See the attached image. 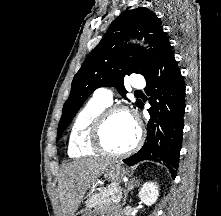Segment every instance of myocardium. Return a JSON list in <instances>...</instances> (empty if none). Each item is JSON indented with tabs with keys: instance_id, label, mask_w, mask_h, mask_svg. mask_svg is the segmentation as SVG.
Listing matches in <instances>:
<instances>
[{
	"instance_id": "myocardium-1",
	"label": "myocardium",
	"mask_w": 221,
	"mask_h": 216,
	"mask_svg": "<svg viewBox=\"0 0 221 216\" xmlns=\"http://www.w3.org/2000/svg\"><path fill=\"white\" fill-rule=\"evenodd\" d=\"M116 113H125L126 115H128L132 119L137 131L136 140L128 148L122 151H112L108 149L103 143V131L106 123L111 118V116ZM143 138L144 131L141 122L132 114V112L127 107L121 105H115L106 108L94 121L89 132L90 146L95 151L111 157H123L133 153L140 147L143 142Z\"/></svg>"
}]
</instances>
